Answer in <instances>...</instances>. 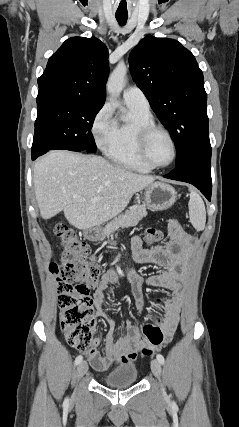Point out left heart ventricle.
Masks as SVG:
<instances>
[{
    "label": "left heart ventricle",
    "mask_w": 239,
    "mask_h": 427,
    "mask_svg": "<svg viewBox=\"0 0 239 427\" xmlns=\"http://www.w3.org/2000/svg\"><path fill=\"white\" fill-rule=\"evenodd\" d=\"M148 157L157 165L166 164L172 157V147L168 138L162 133H156L148 146Z\"/></svg>",
    "instance_id": "b2bd125f"
}]
</instances>
